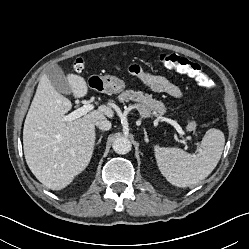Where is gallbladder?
<instances>
[{
    "label": "gallbladder",
    "mask_w": 249,
    "mask_h": 249,
    "mask_svg": "<svg viewBox=\"0 0 249 249\" xmlns=\"http://www.w3.org/2000/svg\"><path fill=\"white\" fill-rule=\"evenodd\" d=\"M51 84L60 94H71V87L59 65H54L46 71Z\"/></svg>",
    "instance_id": "gallbladder-1"
}]
</instances>
